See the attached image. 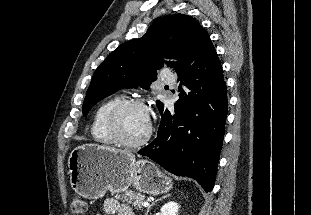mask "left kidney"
I'll return each instance as SVG.
<instances>
[{
    "label": "left kidney",
    "mask_w": 311,
    "mask_h": 215,
    "mask_svg": "<svg viewBox=\"0 0 311 215\" xmlns=\"http://www.w3.org/2000/svg\"><path fill=\"white\" fill-rule=\"evenodd\" d=\"M179 205L176 202L170 201L161 208L159 215H178Z\"/></svg>",
    "instance_id": "5707ae66"
}]
</instances>
